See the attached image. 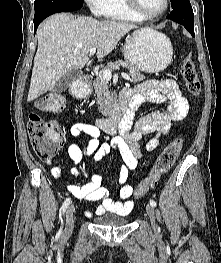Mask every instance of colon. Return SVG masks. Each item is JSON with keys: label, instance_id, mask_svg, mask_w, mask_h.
<instances>
[{"label": "colon", "instance_id": "obj_1", "mask_svg": "<svg viewBox=\"0 0 221 263\" xmlns=\"http://www.w3.org/2000/svg\"><path fill=\"white\" fill-rule=\"evenodd\" d=\"M180 71L188 92L193 96H198L201 91V82L195 64L189 55L183 58ZM35 108L42 112L58 113L66 108V100L60 94H47L35 101ZM28 130L36 155L41 160H50L63 142V132L58 124L53 120H44L36 113H31ZM181 147L182 141L177 139L163 149L147 178L135 188L136 198L146 196L161 176L171 168L179 156Z\"/></svg>", "mask_w": 221, "mask_h": 263}]
</instances>
